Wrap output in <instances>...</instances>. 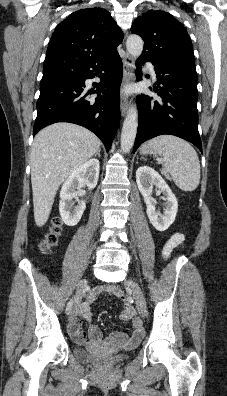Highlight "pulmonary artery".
I'll return each instance as SVG.
<instances>
[{
	"label": "pulmonary artery",
	"instance_id": "e3ab8cb5",
	"mask_svg": "<svg viewBox=\"0 0 227 396\" xmlns=\"http://www.w3.org/2000/svg\"><path fill=\"white\" fill-rule=\"evenodd\" d=\"M146 67L148 68V70L150 71V73L155 77V76H156V72H155V69H154L153 64L150 63V62H147V63H146Z\"/></svg>",
	"mask_w": 227,
	"mask_h": 396
}]
</instances>
